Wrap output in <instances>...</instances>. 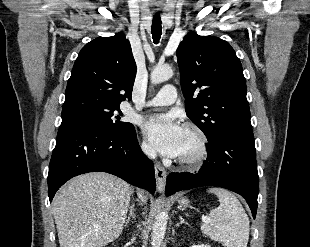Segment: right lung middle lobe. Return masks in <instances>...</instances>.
Wrapping results in <instances>:
<instances>
[{
  "instance_id": "right-lung-middle-lobe-1",
  "label": "right lung middle lobe",
  "mask_w": 310,
  "mask_h": 247,
  "mask_svg": "<svg viewBox=\"0 0 310 247\" xmlns=\"http://www.w3.org/2000/svg\"><path fill=\"white\" fill-rule=\"evenodd\" d=\"M119 108H99L93 106H76L62 110L61 127L85 125L95 126L123 133L133 127L131 123L121 122L120 116H115L114 111Z\"/></svg>"
}]
</instances>
